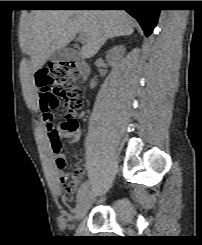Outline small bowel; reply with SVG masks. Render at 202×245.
<instances>
[{"mask_svg":"<svg viewBox=\"0 0 202 245\" xmlns=\"http://www.w3.org/2000/svg\"><path fill=\"white\" fill-rule=\"evenodd\" d=\"M37 98H38V95H37ZM53 103H54L53 109H56L57 108V101H56L54 96H53ZM47 129H48V131L49 130H56L60 136L63 135L65 138L72 139V140H77L80 137V129L78 128V126H75V128L72 130H66L60 124H52V126L47 127ZM48 139H49L51 149L53 152V156H54V164H53L52 171H53L54 175L56 176L58 183L65 185L70 178V174L65 171V168L67 165L66 157L62 153L61 149L55 150L53 148L51 139L49 137H48ZM85 173H86V167L85 166H81L74 171V173L71 176L72 179H71L70 183L65 187L66 195H71L74 192V190L79 185L82 178L84 177Z\"/></svg>","mask_w":202,"mask_h":245,"instance_id":"1","label":"small bowel"}]
</instances>
